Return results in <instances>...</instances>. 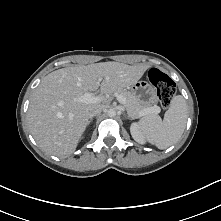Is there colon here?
Returning a JSON list of instances; mask_svg holds the SVG:
<instances>
[{"instance_id": "5ec220e1", "label": "colon", "mask_w": 221, "mask_h": 221, "mask_svg": "<svg viewBox=\"0 0 221 221\" xmlns=\"http://www.w3.org/2000/svg\"><path fill=\"white\" fill-rule=\"evenodd\" d=\"M148 79L157 89L159 102L163 108H168L176 93L173 80L157 68H152L148 73Z\"/></svg>"}]
</instances>
